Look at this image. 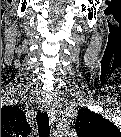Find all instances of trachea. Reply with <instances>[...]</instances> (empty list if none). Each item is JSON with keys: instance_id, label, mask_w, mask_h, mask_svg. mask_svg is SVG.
<instances>
[{"instance_id": "trachea-1", "label": "trachea", "mask_w": 121, "mask_h": 137, "mask_svg": "<svg viewBox=\"0 0 121 137\" xmlns=\"http://www.w3.org/2000/svg\"><path fill=\"white\" fill-rule=\"evenodd\" d=\"M37 124H38V129L40 131H44L45 129H47L49 125V117L46 112L42 113L39 111L37 113Z\"/></svg>"}]
</instances>
